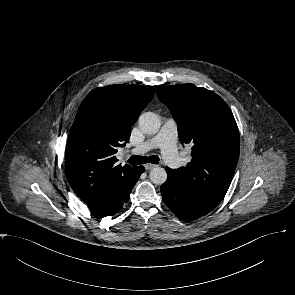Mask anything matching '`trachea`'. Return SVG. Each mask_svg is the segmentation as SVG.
Segmentation results:
<instances>
[{
	"mask_svg": "<svg viewBox=\"0 0 295 295\" xmlns=\"http://www.w3.org/2000/svg\"><path fill=\"white\" fill-rule=\"evenodd\" d=\"M127 162L131 165H141L145 163H152V164H158L159 163V157L157 155H151V156H131Z\"/></svg>",
	"mask_w": 295,
	"mask_h": 295,
	"instance_id": "3493384b",
	"label": "trachea"
}]
</instances>
